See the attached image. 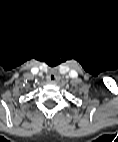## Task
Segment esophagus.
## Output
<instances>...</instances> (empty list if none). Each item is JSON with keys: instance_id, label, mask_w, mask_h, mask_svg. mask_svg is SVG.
I'll return each instance as SVG.
<instances>
[{"instance_id": "esophagus-1", "label": "esophagus", "mask_w": 118, "mask_h": 142, "mask_svg": "<svg viewBox=\"0 0 118 142\" xmlns=\"http://www.w3.org/2000/svg\"><path fill=\"white\" fill-rule=\"evenodd\" d=\"M47 80L50 83H54L57 80V77L55 75H49Z\"/></svg>"}]
</instances>
